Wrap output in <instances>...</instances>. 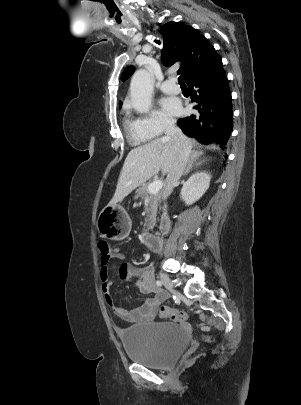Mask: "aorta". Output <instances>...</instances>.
Listing matches in <instances>:
<instances>
[{
	"label": "aorta",
	"mask_w": 301,
	"mask_h": 405,
	"mask_svg": "<svg viewBox=\"0 0 301 405\" xmlns=\"http://www.w3.org/2000/svg\"><path fill=\"white\" fill-rule=\"evenodd\" d=\"M153 81L146 70L135 72L130 83L132 106L140 113H147L151 107Z\"/></svg>",
	"instance_id": "aorta-1"
}]
</instances>
